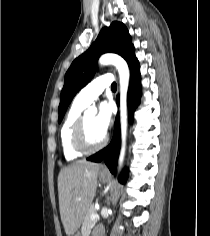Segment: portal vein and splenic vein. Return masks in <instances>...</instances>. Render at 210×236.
<instances>
[{
	"mask_svg": "<svg viewBox=\"0 0 210 236\" xmlns=\"http://www.w3.org/2000/svg\"><path fill=\"white\" fill-rule=\"evenodd\" d=\"M91 219H93V220L99 219V215L97 213L96 214H92L91 215Z\"/></svg>",
	"mask_w": 210,
	"mask_h": 236,
	"instance_id": "18ae733b",
	"label": "portal vein and splenic vein"
}]
</instances>
